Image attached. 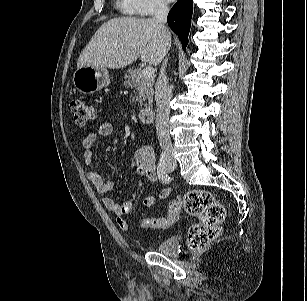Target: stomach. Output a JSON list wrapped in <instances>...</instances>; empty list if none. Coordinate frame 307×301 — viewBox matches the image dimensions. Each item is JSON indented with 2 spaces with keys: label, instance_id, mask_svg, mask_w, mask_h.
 <instances>
[{
  "label": "stomach",
  "instance_id": "1",
  "mask_svg": "<svg viewBox=\"0 0 307 301\" xmlns=\"http://www.w3.org/2000/svg\"><path fill=\"white\" fill-rule=\"evenodd\" d=\"M75 88L84 94H92L110 84V75L104 67L83 66L73 74Z\"/></svg>",
  "mask_w": 307,
  "mask_h": 301
}]
</instances>
